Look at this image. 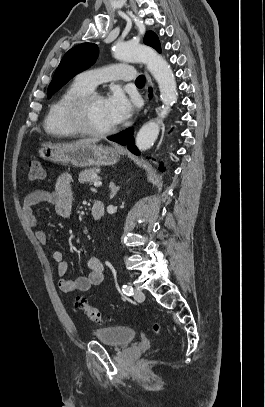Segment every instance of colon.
Segmentation results:
<instances>
[{
  "label": "colon",
  "instance_id": "colon-1",
  "mask_svg": "<svg viewBox=\"0 0 265 407\" xmlns=\"http://www.w3.org/2000/svg\"><path fill=\"white\" fill-rule=\"evenodd\" d=\"M28 178L33 182L42 180L44 178V169L40 160L34 159L30 161ZM74 307L76 309L83 310L92 322L101 323L105 319L101 311L90 306L85 298L77 297L74 300ZM152 328L157 334L162 332V326L159 322H154Z\"/></svg>",
  "mask_w": 265,
  "mask_h": 407
}]
</instances>
